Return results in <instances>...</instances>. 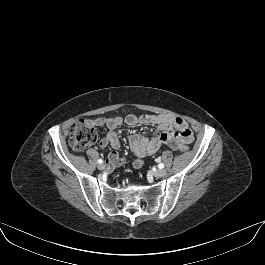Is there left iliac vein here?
Listing matches in <instances>:
<instances>
[{
  "label": "left iliac vein",
  "instance_id": "left-iliac-vein-1",
  "mask_svg": "<svg viewBox=\"0 0 265 265\" xmlns=\"http://www.w3.org/2000/svg\"><path fill=\"white\" fill-rule=\"evenodd\" d=\"M166 170L164 169H158L156 171L153 172V175L156 177V178H162L166 175Z\"/></svg>",
  "mask_w": 265,
  "mask_h": 265
}]
</instances>
